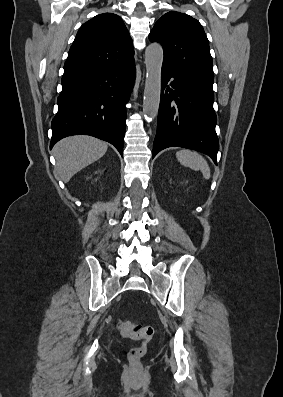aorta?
Wrapping results in <instances>:
<instances>
[{
	"mask_svg": "<svg viewBox=\"0 0 283 397\" xmlns=\"http://www.w3.org/2000/svg\"><path fill=\"white\" fill-rule=\"evenodd\" d=\"M163 49L158 43H151L145 50L146 80L143 99V114L153 120L158 113L161 95V68Z\"/></svg>",
	"mask_w": 283,
	"mask_h": 397,
	"instance_id": "aorta-1",
	"label": "aorta"
}]
</instances>
